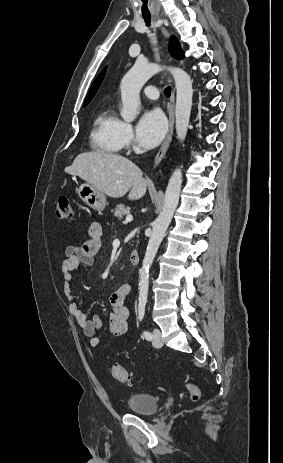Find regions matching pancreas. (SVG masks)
Wrapping results in <instances>:
<instances>
[{"mask_svg": "<svg viewBox=\"0 0 283 463\" xmlns=\"http://www.w3.org/2000/svg\"><path fill=\"white\" fill-rule=\"evenodd\" d=\"M112 213L114 217L121 219L123 216L130 213V208L123 204H119L115 210H112Z\"/></svg>", "mask_w": 283, "mask_h": 463, "instance_id": "obj_1", "label": "pancreas"}]
</instances>
